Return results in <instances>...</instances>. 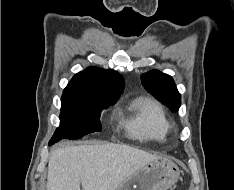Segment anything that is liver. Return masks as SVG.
I'll return each mask as SVG.
<instances>
[{
    "instance_id": "6515ba94",
    "label": "liver",
    "mask_w": 234,
    "mask_h": 190,
    "mask_svg": "<svg viewBox=\"0 0 234 190\" xmlns=\"http://www.w3.org/2000/svg\"><path fill=\"white\" fill-rule=\"evenodd\" d=\"M158 157L115 143L60 147L49 159L47 190H116Z\"/></svg>"
}]
</instances>
